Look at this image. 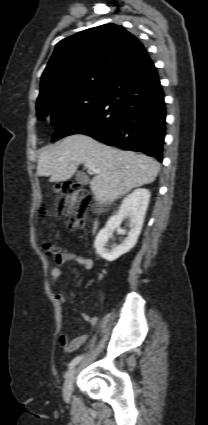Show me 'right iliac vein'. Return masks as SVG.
Masks as SVG:
<instances>
[{
	"label": "right iliac vein",
	"mask_w": 208,
	"mask_h": 425,
	"mask_svg": "<svg viewBox=\"0 0 208 425\" xmlns=\"http://www.w3.org/2000/svg\"><path fill=\"white\" fill-rule=\"evenodd\" d=\"M75 369L69 371L66 376L64 386H63V397L66 401H69L73 392V382L75 376Z\"/></svg>",
	"instance_id": "1"
}]
</instances>
